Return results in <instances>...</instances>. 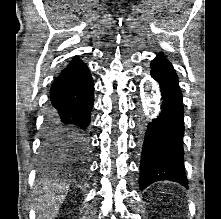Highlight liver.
Returning a JSON list of instances; mask_svg holds the SVG:
<instances>
[{"instance_id": "6515ba94", "label": "liver", "mask_w": 221, "mask_h": 219, "mask_svg": "<svg viewBox=\"0 0 221 219\" xmlns=\"http://www.w3.org/2000/svg\"><path fill=\"white\" fill-rule=\"evenodd\" d=\"M68 190V184H60L57 187L45 186L35 204L38 219H54L65 200Z\"/></svg>"}]
</instances>
